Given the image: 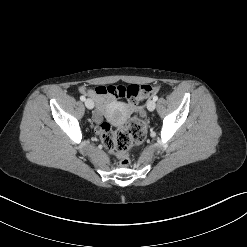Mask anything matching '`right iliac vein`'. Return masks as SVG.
Here are the masks:
<instances>
[{
    "mask_svg": "<svg viewBox=\"0 0 247 247\" xmlns=\"http://www.w3.org/2000/svg\"><path fill=\"white\" fill-rule=\"evenodd\" d=\"M85 106L88 108V109H93L94 108V102L92 99L88 98L85 100Z\"/></svg>",
    "mask_w": 247,
    "mask_h": 247,
    "instance_id": "1",
    "label": "right iliac vein"
}]
</instances>
